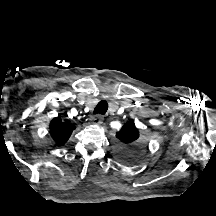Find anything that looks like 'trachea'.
Segmentation results:
<instances>
[{"label":"trachea","instance_id":"trachea-1","mask_svg":"<svg viewBox=\"0 0 216 216\" xmlns=\"http://www.w3.org/2000/svg\"><path fill=\"white\" fill-rule=\"evenodd\" d=\"M108 110V103L106 100H101L97 106L95 107L94 111H93V115H97V114H105Z\"/></svg>","mask_w":216,"mask_h":216}]
</instances>
